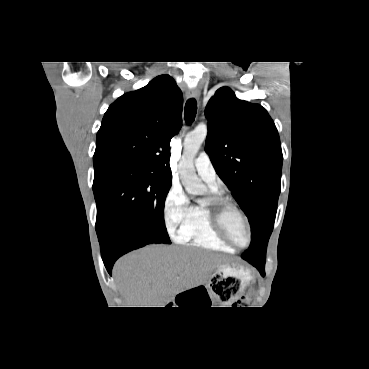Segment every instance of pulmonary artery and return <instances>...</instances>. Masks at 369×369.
<instances>
[{
	"label": "pulmonary artery",
	"instance_id": "1",
	"mask_svg": "<svg viewBox=\"0 0 369 369\" xmlns=\"http://www.w3.org/2000/svg\"><path fill=\"white\" fill-rule=\"evenodd\" d=\"M195 169L200 178L213 190L217 189L216 172L207 153L202 152L194 161Z\"/></svg>",
	"mask_w": 369,
	"mask_h": 369
}]
</instances>
